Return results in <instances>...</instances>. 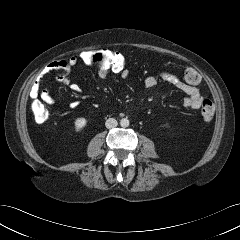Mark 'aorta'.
I'll list each match as a JSON object with an SVG mask.
<instances>
[{
    "label": "aorta",
    "mask_w": 240,
    "mask_h": 240,
    "mask_svg": "<svg viewBox=\"0 0 240 240\" xmlns=\"http://www.w3.org/2000/svg\"><path fill=\"white\" fill-rule=\"evenodd\" d=\"M120 125L121 127L125 128V127H128L129 126V120L127 118H122L120 120Z\"/></svg>",
    "instance_id": "obj_1"
}]
</instances>
